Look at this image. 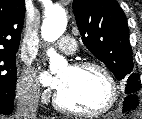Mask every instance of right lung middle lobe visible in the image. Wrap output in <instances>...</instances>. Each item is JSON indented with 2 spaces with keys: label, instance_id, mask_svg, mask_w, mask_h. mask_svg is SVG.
Instances as JSON below:
<instances>
[{
  "label": "right lung middle lobe",
  "instance_id": "1",
  "mask_svg": "<svg viewBox=\"0 0 142 119\" xmlns=\"http://www.w3.org/2000/svg\"><path fill=\"white\" fill-rule=\"evenodd\" d=\"M16 52L0 50V92L14 93L16 89Z\"/></svg>",
  "mask_w": 142,
  "mask_h": 119
}]
</instances>
